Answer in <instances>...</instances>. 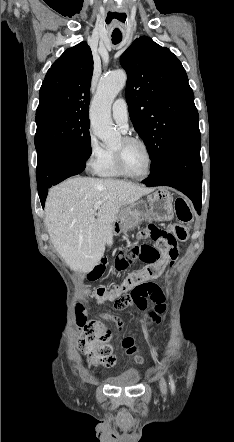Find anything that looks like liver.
<instances>
[{"mask_svg": "<svg viewBox=\"0 0 234 442\" xmlns=\"http://www.w3.org/2000/svg\"><path fill=\"white\" fill-rule=\"evenodd\" d=\"M152 188L130 182L75 177L50 189L45 225L50 239L74 271L90 272L113 244L114 223L120 208L131 205ZM101 202L98 213L94 204Z\"/></svg>", "mask_w": 234, "mask_h": 442, "instance_id": "6515ba94", "label": "liver"}]
</instances>
